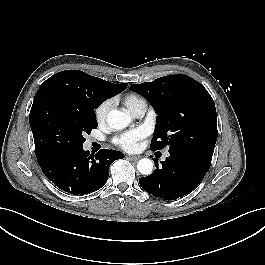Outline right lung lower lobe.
Returning <instances> with one entry per match:
<instances>
[{
	"label": "right lung lower lobe",
	"mask_w": 265,
	"mask_h": 265,
	"mask_svg": "<svg viewBox=\"0 0 265 265\" xmlns=\"http://www.w3.org/2000/svg\"><path fill=\"white\" fill-rule=\"evenodd\" d=\"M124 154L102 149L95 156L83 148L52 153L37 158L46 177L61 190L70 194L95 192L106 183L109 166Z\"/></svg>",
	"instance_id": "right-lung-lower-lobe-1"
}]
</instances>
